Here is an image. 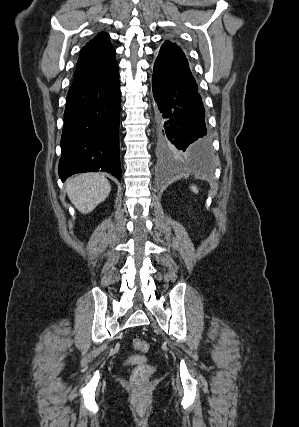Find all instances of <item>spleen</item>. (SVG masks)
<instances>
[{
  "label": "spleen",
  "mask_w": 299,
  "mask_h": 427,
  "mask_svg": "<svg viewBox=\"0 0 299 427\" xmlns=\"http://www.w3.org/2000/svg\"><path fill=\"white\" fill-rule=\"evenodd\" d=\"M191 189H192V191L194 192V193H198V189H197V187L196 186H191Z\"/></svg>",
  "instance_id": "obj_1"
}]
</instances>
